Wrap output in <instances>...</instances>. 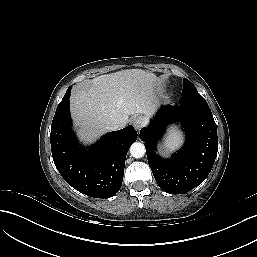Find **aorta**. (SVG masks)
Masks as SVG:
<instances>
[{
	"mask_svg": "<svg viewBox=\"0 0 257 257\" xmlns=\"http://www.w3.org/2000/svg\"><path fill=\"white\" fill-rule=\"evenodd\" d=\"M145 146L140 142H135L130 147V154L134 158H142L145 155Z\"/></svg>",
	"mask_w": 257,
	"mask_h": 257,
	"instance_id": "1",
	"label": "aorta"
}]
</instances>
